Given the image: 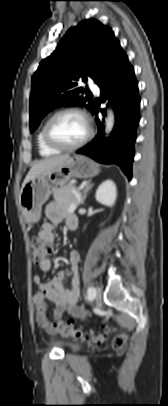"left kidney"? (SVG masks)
<instances>
[{
  "label": "left kidney",
  "mask_w": 168,
  "mask_h": 406,
  "mask_svg": "<svg viewBox=\"0 0 168 406\" xmlns=\"http://www.w3.org/2000/svg\"><path fill=\"white\" fill-rule=\"evenodd\" d=\"M96 200L105 206L112 207L117 198L116 185L112 180H106L96 190Z\"/></svg>",
  "instance_id": "5707ae66"
}]
</instances>
